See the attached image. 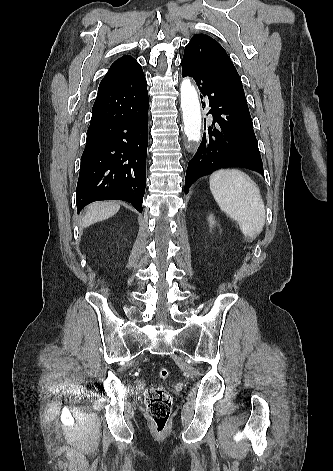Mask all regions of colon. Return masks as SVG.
Here are the masks:
<instances>
[{"instance_id":"1","label":"colon","mask_w":333,"mask_h":471,"mask_svg":"<svg viewBox=\"0 0 333 471\" xmlns=\"http://www.w3.org/2000/svg\"><path fill=\"white\" fill-rule=\"evenodd\" d=\"M169 369L162 367L158 372V379L164 382L169 377ZM145 402L155 431L164 433L169 422L172 399L163 386L149 389L145 394Z\"/></svg>"}]
</instances>
